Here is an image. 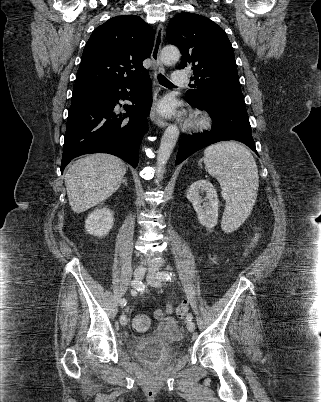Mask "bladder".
Listing matches in <instances>:
<instances>
[{
    "instance_id": "1",
    "label": "bladder",
    "mask_w": 321,
    "mask_h": 402,
    "mask_svg": "<svg viewBox=\"0 0 321 402\" xmlns=\"http://www.w3.org/2000/svg\"><path fill=\"white\" fill-rule=\"evenodd\" d=\"M159 333L139 337L131 352L143 363L153 366H167L174 360V343L163 341Z\"/></svg>"
}]
</instances>
